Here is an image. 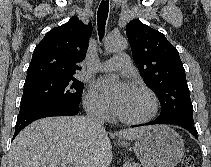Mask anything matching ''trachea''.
Here are the masks:
<instances>
[{
  "label": "trachea",
  "mask_w": 211,
  "mask_h": 167,
  "mask_svg": "<svg viewBox=\"0 0 211 167\" xmlns=\"http://www.w3.org/2000/svg\"><path fill=\"white\" fill-rule=\"evenodd\" d=\"M109 12V0H102L97 12L98 35L101 39L104 37L105 24Z\"/></svg>",
  "instance_id": "obj_1"
}]
</instances>
